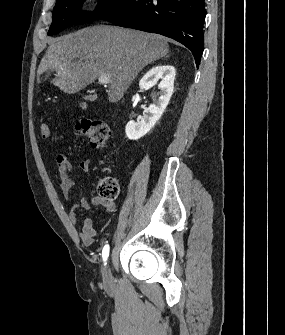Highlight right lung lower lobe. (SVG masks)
<instances>
[{
    "label": "right lung lower lobe",
    "mask_w": 285,
    "mask_h": 335,
    "mask_svg": "<svg viewBox=\"0 0 285 335\" xmlns=\"http://www.w3.org/2000/svg\"><path fill=\"white\" fill-rule=\"evenodd\" d=\"M204 0H120L99 18L158 33L189 48L198 66L204 49Z\"/></svg>",
    "instance_id": "98d812e1"
}]
</instances>
